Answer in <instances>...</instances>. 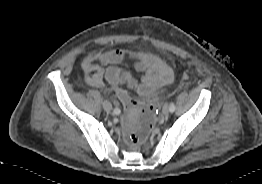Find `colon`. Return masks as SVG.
<instances>
[{
    "mask_svg": "<svg viewBox=\"0 0 262 184\" xmlns=\"http://www.w3.org/2000/svg\"><path fill=\"white\" fill-rule=\"evenodd\" d=\"M116 95L126 109L124 122L126 138L132 145H140L148 137L158 100L153 99L145 105H140L124 90H117Z\"/></svg>",
    "mask_w": 262,
    "mask_h": 184,
    "instance_id": "5ec220e1",
    "label": "colon"
}]
</instances>
